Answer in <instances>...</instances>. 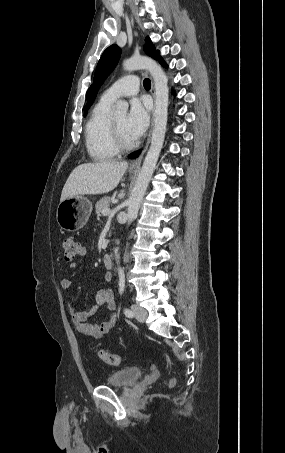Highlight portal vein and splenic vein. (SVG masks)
<instances>
[{"label":"portal vein and splenic vein","instance_id":"18ae733b","mask_svg":"<svg viewBox=\"0 0 285 453\" xmlns=\"http://www.w3.org/2000/svg\"><path fill=\"white\" fill-rule=\"evenodd\" d=\"M109 213H110V209H104V210L102 211V214H103L104 216H107Z\"/></svg>","mask_w":285,"mask_h":453}]
</instances>
